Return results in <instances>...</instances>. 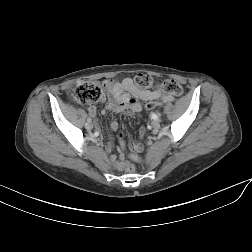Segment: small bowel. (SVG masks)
<instances>
[{
    "instance_id": "small-bowel-1",
    "label": "small bowel",
    "mask_w": 252,
    "mask_h": 252,
    "mask_svg": "<svg viewBox=\"0 0 252 252\" xmlns=\"http://www.w3.org/2000/svg\"><path fill=\"white\" fill-rule=\"evenodd\" d=\"M106 96L103 95L102 100H107L105 108L102 113L105 114L108 110L121 112L125 114H136L142 111L143 107L140 101L148 103L160 100L163 103L173 102L174 96L165 94L159 90H147L139 89L131 78H125L121 81H115L113 79H106L103 81ZM146 104V105H147ZM89 115L92 117L95 125L98 127L99 119L97 117L96 107L91 105L88 109ZM118 128V122L113 119L111 121V129L116 130ZM145 133L144 129H140L139 135L143 136ZM122 137V135H120ZM122 142V149L119 151L118 156H112L111 161L117 170H123L124 163V142ZM113 144L108 142L105 146L106 152H111ZM136 151L142 149L141 145L134 148Z\"/></svg>"
}]
</instances>
